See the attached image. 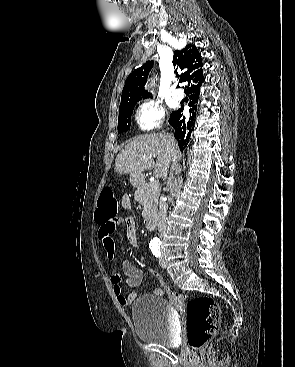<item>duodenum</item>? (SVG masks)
Returning <instances> with one entry per match:
<instances>
[{
    "label": "duodenum",
    "instance_id": "410a0bca",
    "mask_svg": "<svg viewBox=\"0 0 295 367\" xmlns=\"http://www.w3.org/2000/svg\"><path fill=\"white\" fill-rule=\"evenodd\" d=\"M156 223V215L155 214H148L144 218V225L147 229H152Z\"/></svg>",
    "mask_w": 295,
    "mask_h": 367
}]
</instances>
